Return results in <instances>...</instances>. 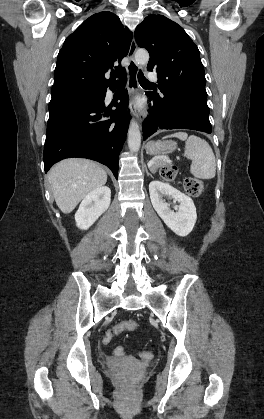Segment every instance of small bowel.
Returning a JSON list of instances; mask_svg holds the SVG:
<instances>
[{
  "label": "small bowel",
  "instance_id": "c3829d8e",
  "mask_svg": "<svg viewBox=\"0 0 264 419\" xmlns=\"http://www.w3.org/2000/svg\"><path fill=\"white\" fill-rule=\"evenodd\" d=\"M111 331H114L115 332V334L116 333H118V332H120L121 331V327H120V324L119 325H117L113 330H111ZM124 354H125V351H124V348L123 347H116L115 349H114V351H113V355L115 356V357H122V356H124Z\"/></svg>",
  "mask_w": 264,
  "mask_h": 419
}]
</instances>
